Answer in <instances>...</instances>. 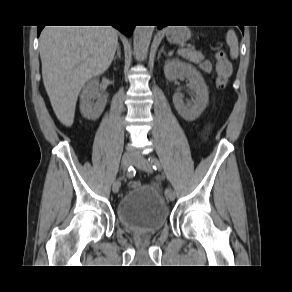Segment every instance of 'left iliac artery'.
<instances>
[{"mask_svg":"<svg viewBox=\"0 0 292 292\" xmlns=\"http://www.w3.org/2000/svg\"><path fill=\"white\" fill-rule=\"evenodd\" d=\"M149 161H150V163H151V165H152L154 170H158V171L161 170V164H160V162H159V160L157 158L151 156L149 158ZM170 190H172V189L171 188H167L165 190V194H168Z\"/></svg>","mask_w":292,"mask_h":292,"instance_id":"left-iliac-artery-1","label":"left iliac artery"}]
</instances>
